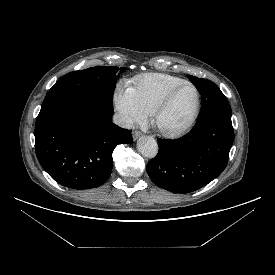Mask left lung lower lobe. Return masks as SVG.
<instances>
[{
    "label": "left lung lower lobe",
    "instance_id": "0a47b994",
    "mask_svg": "<svg viewBox=\"0 0 275 275\" xmlns=\"http://www.w3.org/2000/svg\"><path fill=\"white\" fill-rule=\"evenodd\" d=\"M234 140L231 118L195 124L176 140L158 139L159 152L147 164L153 183L173 193L193 192L222 173Z\"/></svg>",
    "mask_w": 275,
    "mask_h": 275
}]
</instances>
